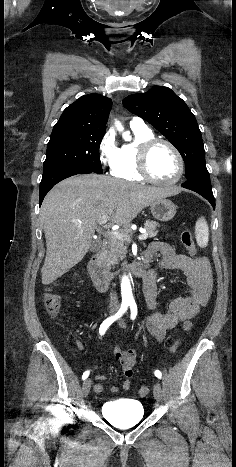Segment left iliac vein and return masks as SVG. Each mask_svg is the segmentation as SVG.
Listing matches in <instances>:
<instances>
[{"mask_svg": "<svg viewBox=\"0 0 236 467\" xmlns=\"http://www.w3.org/2000/svg\"><path fill=\"white\" fill-rule=\"evenodd\" d=\"M120 325L124 326V322L120 321ZM153 394H154V398L156 399V401H158V402L162 401L163 390H162V386H161L160 383H155L154 384Z\"/></svg>", "mask_w": 236, "mask_h": 467, "instance_id": "obj_1", "label": "left iliac vein"}]
</instances>
